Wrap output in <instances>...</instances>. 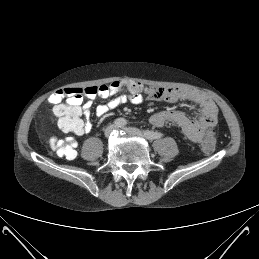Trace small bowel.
Listing matches in <instances>:
<instances>
[{
	"label": "small bowel",
	"instance_id": "c3829d8e",
	"mask_svg": "<svg viewBox=\"0 0 259 259\" xmlns=\"http://www.w3.org/2000/svg\"><path fill=\"white\" fill-rule=\"evenodd\" d=\"M77 90L80 92H76ZM118 93L120 95L116 96ZM63 98H66L65 103H62ZM96 98L109 99L107 103L96 107L95 113L98 117H104L109 111L126 102L139 105L144 100L167 103L191 101L200 108L197 118L192 119L178 111L163 110L153 114L149 121L155 127L174 124L181 129L187 139L194 143H200L208 135L213 134L217 123V106L204 94L177 87H149L132 80H120L111 84L85 88L60 89L50 95L48 102L54 106L53 111L60 118L59 126L61 129L63 120L74 118L78 126L72 132L76 135H82L92 130L89 117L92 103Z\"/></svg>",
	"mask_w": 259,
	"mask_h": 259
}]
</instances>
